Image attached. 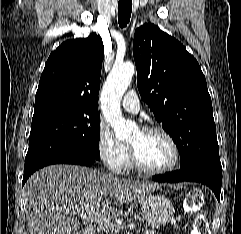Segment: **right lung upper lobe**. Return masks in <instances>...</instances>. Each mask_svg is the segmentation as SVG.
<instances>
[{"label": "right lung upper lobe", "mask_w": 241, "mask_h": 234, "mask_svg": "<svg viewBox=\"0 0 241 234\" xmlns=\"http://www.w3.org/2000/svg\"><path fill=\"white\" fill-rule=\"evenodd\" d=\"M104 46L99 35L62 43L45 65L35 106L67 103L97 108Z\"/></svg>", "instance_id": "obj_1"}]
</instances>
